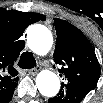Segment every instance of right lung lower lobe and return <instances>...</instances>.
<instances>
[{
    "instance_id": "98d812e1",
    "label": "right lung lower lobe",
    "mask_w": 103,
    "mask_h": 103,
    "mask_svg": "<svg viewBox=\"0 0 103 103\" xmlns=\"http://www.w3.org/2000/svg\"><path fill=\"white\" fill-rule=\"evenodd\" d=\"M15 89V88H14ZM14 89L11 90L9 93L5 94L2 99L1 102L2 103H7L12 99L13 93H14Z\"/></svg>"
}]
</instances>
